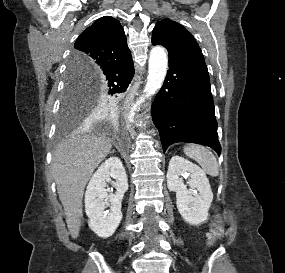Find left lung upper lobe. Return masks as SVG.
I'll return each mask as SVG.
<instances>
[{"label": "left lung upper lobe", "mask_w": 285, "mask_h": 273, "mask_svg": "<svg viewBox=\"0 0 285 273\" xmlns=\"http://www.w3.org/2000/svg\"><path fill=\"white\" fill-rule=\"evenodd\" d=\"M152 38L179 48L193 55L197 60L205 62L201 49L193 35L175 21L163 19L158 22L154 27Z\"/></svg>", "instance_id": "5c2ea615"}]
</instances>
